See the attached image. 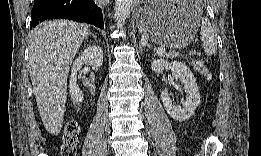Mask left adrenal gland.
<instances>
[{
    "instance_id": "left-adrenal-gland-1",
    "label": "left adrenal gland",
    "mask_w": 261,
    "mask_h": 156,
    "mask_svg": "<svg viewBox=\"0 0 261 156\" xmlns=\"http://www.w3.org/2000/svg\"><path fill=\"white\" fill-rule=\"evenodd\" d=\"M139 47H140V49L145 48V47H147L148 49L150 48V46L144 36L141 37Z\"/></svg>"
}]
</instances>
